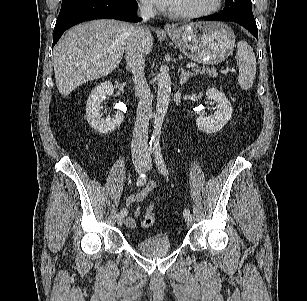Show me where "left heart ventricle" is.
Here are the masks:
<instances>
[{
  "mask_svg": "<svg viewBox=\"0 0 307 301\" xmlns=\"http://www.w3.org/2000/svg\"><path fill=\"white\" fill-rule=\"evenodd\" d=\"M213 0H177L173 11H195L209 7Z\"/></svg>",
  "mask_w": 307,
  "mask_h": 301,
  "instance_id": "obj_1",
  "label": "left heart ventricle"
}]
</instances>
